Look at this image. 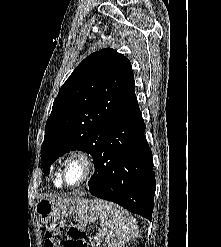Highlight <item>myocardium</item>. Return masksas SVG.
Instances as JSON below:
<instances>
[{"mask_svg": "<svg viewBox=\"0 0 221 247\" xmlns=\"http://www.w3.org/2000/svg\"><path fill=\"white\" fill-rule=\"evenodd\" d=\"M77 161L81 163L84 170V175L82 179L76 184H68L65 179L66 167L72 162ZM95 171V161L90 152L78 149L70 152L63 160L60 168L59 178L62 184L69 188H77L84 185L94 174Z\"/></svg>", "mask_w": 221, "mask_h": 247, "instance_id": "obj_1", "label": "myocardium"}]
</instances>
